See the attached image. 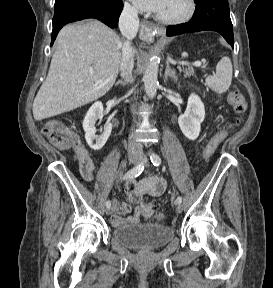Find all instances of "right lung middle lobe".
I'll list each match as a JSON object with an SVG mask.
<instances>
[{
  "instance_id": "right-lung-middle-lobe-1",
  "label": "right lung middle lobe",
  "mask_w": 273,
  "mask_h": 288,
  "mask_svg": "<svg viewBox=\"0 0 273 288\" xmlns=\"http://www.w3.org/2000/svg\"><path fill=\"white\" fill-rule=\"evenodd\" d=\"M65 1H84V0H56L55 4L60 3V2H65ZM99 1L107 3V2L112 1V0H99Z\"/></svg>"
}]
</instances>
